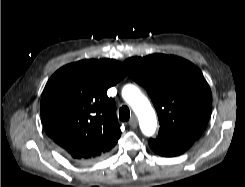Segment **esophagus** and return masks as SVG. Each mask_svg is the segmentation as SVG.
<instances>
[{
	"label": "esophagus",
	"mask_w": 245,
	"mask_h": 187,
	"mask_svg": "<svg viewBox=\"0 0 245 187\" xmlns=\"http://www.w3.org/2000/svg\"><path fill=\"white\" fill-rule=\"evenodd\" d=\"M129 125L132 127V128H136L137 125H138V120L135 116H133L130 120H129Z\"/></svg>",
	"instance_id": "esophagus-1"
}]
</instances>
